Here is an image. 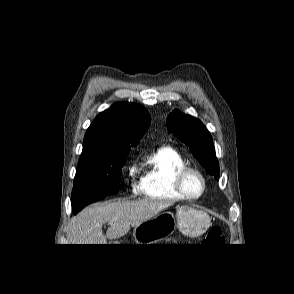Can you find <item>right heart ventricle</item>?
I'll list each match as a JSON object with an SVG mask.
<instances>
[{
  "label": "right heart ventricle",
  "mask_w": 294,
  "mask_h": 294,
  "mask_svg": "<svg viewBox=\"0 0 294 294\" xmlns=\"http://www.w3.org/2000/svg\"><path fill=\"white\" fill-rule=\"evenodd\" d=\"M182 155L170 146H161L145 156L140 163L137 191L154 200H180L174 187V172L185 166Z\"/></svg>",
  "instance_id": "e07e8e85"
}]
</instances>
